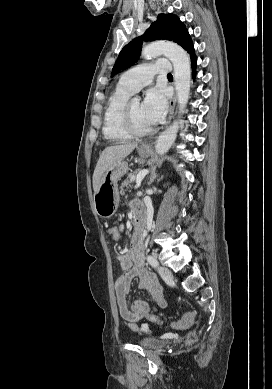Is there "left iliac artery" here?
I'll list each match as a JSON object with an SVG mask.
<instances>
[{"mask_svg": "<svg viewBox=\"0 0 272 389\" xmlns=\"http://www.w3.org/2000/svg\"><path fill=\"white\" fill-rule=\"evenodd\" d=\"M147 261H148V263H149L150 265H152V266H154V267L158 266V262H157L156 258L153 257L152 255H148V256H147Z\"/></svg>", "mask_w": 272, "mask_h": 389, "instance_id": "44dca946", "label": "left iliac artery"}]
</instances>
